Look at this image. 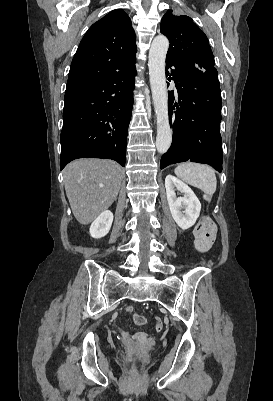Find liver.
Returning <instances> with one entry per match:
<instances>
[{
    "label": "liver",
    "mask_w": 273,
    "mask_h": 401,
    "mask_svg": "<svg viewBox=\"0 0 273 401\" xmlns=\"http://www.w3.org/2000/svg\"><path fill=\"white\" fill-rule=\"evenodd\" d=\"M123 174L122 166L108 158H79L65 166V190L78 223L89 225L111 207Z\"/></svg>",
    "instance_id": "obj_1"
}]
</instances>
